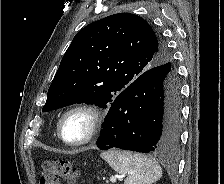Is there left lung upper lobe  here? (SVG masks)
Wrapping results in <instances>:
<instances>
[{"label": "left lung upper lobe", "mask_w": 224, "mask_h": 184, "mask_svg": "<svg viewBox=\"0 0 224 184\" xmlns=\"http://www.w3.org/2000/svg\"><path fill=\"white\" fill-rule=\"evenodd\" d=\"M159 35L140 16L118 13L81 29L65 52L42 111L75 103L109 106L145 71L171 64Z\"/></svg>", "instance_id": "left-lung-upper-lobe-1"}]
</instances>
